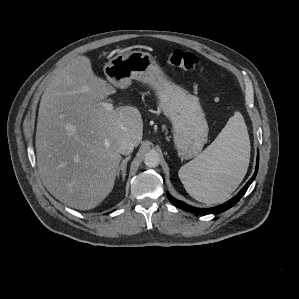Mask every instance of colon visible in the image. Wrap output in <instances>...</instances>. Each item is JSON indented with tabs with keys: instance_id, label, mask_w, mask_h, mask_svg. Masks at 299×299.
<instances>
[{
	"instance_id": "colon-1",
	"label": "colon",
	"mask_w": 299,
	"mask_h": 299,
	"mask_svg": "<svg viewBox=\"0 0 299 299\" xmlns=\"http://www.w3.org/2000/svg\"><path fill=\"white\" fill-rule=\"evenodd\" d=\"M166 62L184 70H193L199 63L198 57L187 51L176 49L166 55Z\"/></svg>"
}]
</instances>
